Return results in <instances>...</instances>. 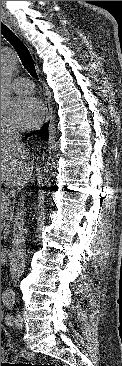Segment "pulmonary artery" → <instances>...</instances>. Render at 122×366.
I'll list each match as a JSON object with an SVG mask.
<instances>
[{"label": "pulmonary artery", "instance_id": "1", "mask_svg": "<svg viewBox=\"0 0 122 366\" xmlns=\"http://www.w3.org/2000/svg\"><path fill=\"white\" fill-rule=\"evenodd\" d=\"M12 89L18 93V94H27V93H31L34 89V85L33 83L26 78H16L12 84Z\"/></svg>", "mask_w": 122, "mask_h": 366}]
</instances>
